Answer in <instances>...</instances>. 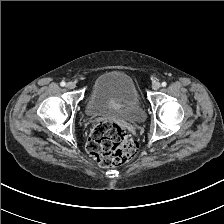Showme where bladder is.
Segmentation results:
<instances>
[{"mask_svg":"<svg viewBox=\"0 0 224 224\" xmlns=\"http://www.w3.org/2000/svg\"><path fill=\"white\" fill-rule=\"evenodd\" d=\"M85 110L90 116L120 113L139 123L145 119L134 81L121 71H107L96 78L86 97Z\"/></svg>","mask_w":224,"mask_h":224,"instance_id":"31cf9c89","label":"bladder"}]
</instances>
